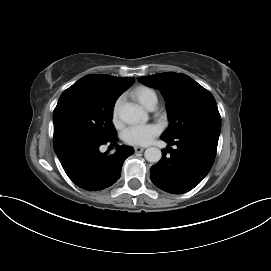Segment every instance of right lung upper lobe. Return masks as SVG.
<instances>
[{
	"label": "right lung upper lobe",
	"instance_id": "cb5924a9",
	"mask_svg": "<svg viewBox=\"0 0 271 271\" xmlns=\"http://www.w3.org/2000/svg\"><path fill=\"white\" fill-rule=\"evenodd\" d=\"M134 81V78L129 77H113L102 74H91L84 76L77 82L83 83L98 92L121 95L133 84Z\"/></svg>",
	"mask_w": 271,
	"mask_h": 271
}]
</instances>
